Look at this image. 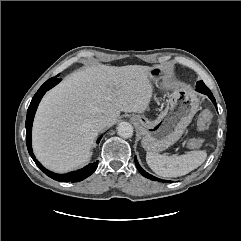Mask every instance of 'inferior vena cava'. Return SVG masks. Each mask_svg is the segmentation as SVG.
<instances>
[{
	"label": "inferior vena cava",
	"mask_w": 241,
	"mask_h": 241,
	"mask_svg": "<svg viewBox=\"0 0 241 241\" xmlns=\"http://www.w3.org/2000/svg\"><path fill=\"white\" fill-rule=\"evenodd\" d=\"M108 122L109 121H108V119L106 117L101 116V117H99L98 119H96L94 121V126L97 129L101 130V129H103V128H105L107 126Z\"/></svg>",
	"instance_id": "obj_1"
}]
</instances>
